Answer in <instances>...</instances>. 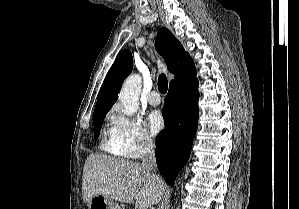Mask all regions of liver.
Masks as SVG:
<instances>
[{"label":"liver","instance_id":"6515ba94","mask_svg":"<svg viewBox=\"0 0 299 209\" xmlns=\"http://www.w3.org/2000/svg\"><path fill=\"white\" fill-rule=\"evenodd\" d=\"M165 188L159 176L138 162L91 154L84 165L82 195L85 203L100 194L121 203L135 202L136 209H148L160 201Z\"/></svg>","mask_w":299,"mask_h":209}]
</instances>
